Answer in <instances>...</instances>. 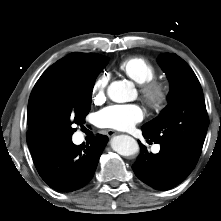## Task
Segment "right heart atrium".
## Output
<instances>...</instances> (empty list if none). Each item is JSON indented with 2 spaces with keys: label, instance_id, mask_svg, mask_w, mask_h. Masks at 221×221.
<instances>
[{
  "label": "right heart atrium",
  "instance_id": "d8ad5b80",
  "mask_svg": "<svg viewBox=\"0 0 221 221\" xmlns=\"http://www.w3.org/2000/svg\"><path fill=\"white\" fill-rule=\"evenodd\" d=\"M108 77L106 75L99 76L92 85V95L95 102H101L105 99Z\"/></svg>",
  "mask_w": 221,
  "mask_h": 221
}]
</instances>
